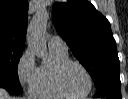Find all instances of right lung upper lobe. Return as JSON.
I'll return each instance as SVG.
<instances>
[{"mask_svg": "<svg viewBox=\"0 0 128 99\" xmlns=\"http://www.w3.org/2000/svg\"><path fill=\"white\" fill-rule=\"evenodd\" d=\"M28 2L0 0V49L24 50Z\"/></svg>", "mask_w": 128, "mask_h": 99, "instance_id": "1", "label": "right lung upper lobe"}]
</instances>
